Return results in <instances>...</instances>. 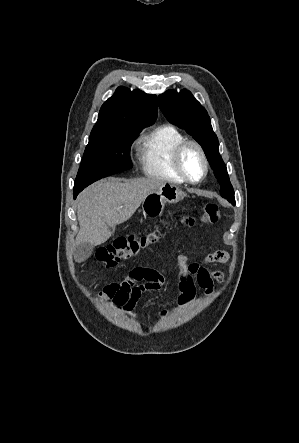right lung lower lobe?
Listing matches in <instances>:
<instances>
[{
	"label": "right lung lower lobe",
	"instance_id": "right-lung-lower-lobe-1",
	"mask_svg": "<svg viewBox=\"0 0 299 443\" xmlns=\"http://www.w3.org/2000/svg\"><path fill=\"white\" fill-rule=\"evenodd\" d=\"M73 194H74L73 196H74V199H75L77 197V195L79 194V191L74 192Z\"/></svg>",
	"mask_w": 299,
	"mask_h": 443
}]
</instances>
